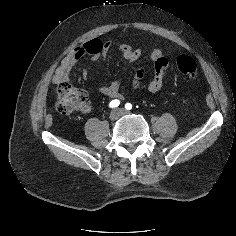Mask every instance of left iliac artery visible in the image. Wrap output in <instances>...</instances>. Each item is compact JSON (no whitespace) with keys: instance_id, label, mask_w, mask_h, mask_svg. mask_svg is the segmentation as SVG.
I'll list each match as a JSON object with an SVG mask.
<instances>
[{"instance_id":"44dca946","label":"left iliac artery","mask_w":236,"mask_h":236,"mask_svg":"<svg viewBox=\"0 0 236 236\" xmlns=\"http://www.w3.org/2000/svg\"><path fill=\"white\" fill-rule=\"evenodd\" d=\"M125 108H126L127 110H131V109H132V104H131V103H126V104H125Z\"/></svg>"}]
</instances>
